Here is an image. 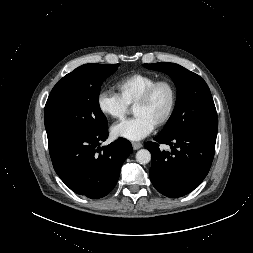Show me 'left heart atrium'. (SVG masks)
<instances>
[{
  "label": "left heart atrium",
  "mask_w": 253,
  "mask_h": 253,
  "mask_svg": "<svg viewBox=\"0 0 253 253\" xmlns=\"http://www.w3.org/2000/svg\"><path fill=\"white\" fill-rule=\"evenodd\" d=\"M155 125L144 116H135L132 119L115 124L111 132L115 137L131 141H139L150 135Z\"/></svg>",
  "instance_id": "obj_1"
}]
</instances>
